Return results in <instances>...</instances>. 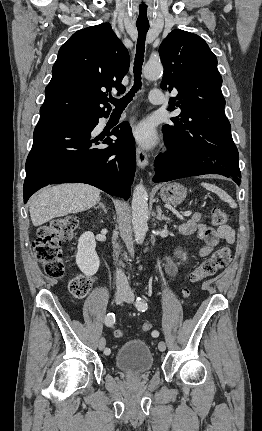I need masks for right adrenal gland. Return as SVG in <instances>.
Masks as SVG:
<instances>
[{"mask_svg": "<svg viewBox=\"0 0 262 431\" xmlns=\"http://www.w3.org/2000/svg\"><path fill=\"white\" fill-rule=\"evenodd\" d=\"M95 209H97V208H102L103 209V211L105 212V213H107V209H106V207H105V205L102 203V202H100V200H99V202H98V206H96V207H94Z\"/></svg>", "mask_w": 262, "mask_h": 431, "instance_id": "right-adrenal-gland-1", "label": "right adrenal gland"}]
</instances>
